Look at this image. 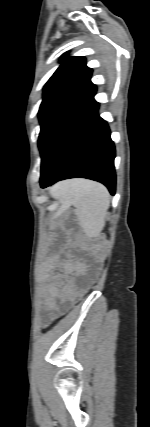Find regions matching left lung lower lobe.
<instances>
[{
	"label": "left lung lower lobe",
	"instance_id": "obj_1",
	"mask_svg": "<svg viewBox=\"0 0 150 427\" xmlns=\"http://www.w3.org/2000/svg\"><path fill=\"white\" fill-rule=\"evenodd\" d=\"M91 85L67 107L41 125V187L82 177L106 185L115 193V148L107 123L99 117Z\"/></svg>",
	"mask_w": 150,
	"mask_h": 427
}]
</instances>
